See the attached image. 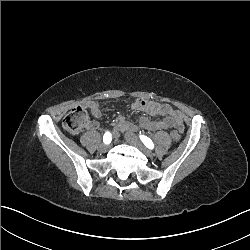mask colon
Returning <instances> with one entry per match:
<instances>
[{
    "label": "colon",
    "instance_id": "obj_1",
    "mask_svg": "<svg viewBox=\"0 0 250 250\" xmlns=\"http://www.w3.org/2000/svg\"><path fill=\"white\" fill-rule=\"evenodd\" d=\"M88 121L87 111L82 107H74L63 118L62 127L67 133L77 135L85 128ZM169 135L176 143L181 139L178 130L171 131Z\"/></svg>",
    "mask_w": 250,
    "mask_h": 250
}]
</instances>
